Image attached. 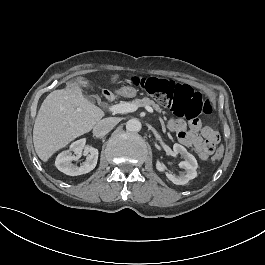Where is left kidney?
I'll use <instances>...</instances> for the list:
<instances>
[{"instance_id":"obj_1","label":"left kidney","mask_w":265,"mask_h":265,"mask_svg":"<svg viewBox=\"0 0 265 265\" xmlns=\"http://www.w3.org/2000/svg\"><path fill=\"white\" fill-rule=\"evenodd\" d=\"M173 154L175 155L181 154V156L185 158L184 161H181L179 163V167L184 169L183 173H180L178 176H176L175 174L166 173L165 171L166 167L160 162L159 158H157L155 162L156 170L161 173H166L168 179L177 185L185 184L190 179L195 178L196 177L195 169L197 168V161L195 157L192 154H190L184 146L180 144H174Z\"/></svg>"}]
</instances>
